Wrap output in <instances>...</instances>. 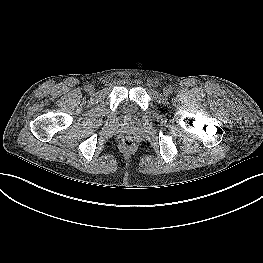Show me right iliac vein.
<instances>
[{"label": "right iliac vein", "mask_w": 263, "mask_h": 263, "mask_svg": "<svg viewBox=\"0 0 263 263\" xmlns=\"http://www.w3.org/2000/svg\"><path fill=\"white\" fill-rule=\"evenodd\" d=\"M89 91L93 92L94 91V87L93 86H89Z\"/></svg>", "instance_id": "1"}]
</instances>
